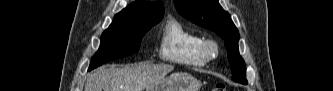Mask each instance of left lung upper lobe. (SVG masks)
<instances>
[{
	"label": "left lung upper lobe",
	"mask_w": 333,
	"mask_h": 91,
	"mask_svg": "<svg viewBox=\"0 0 333 91\" xmlns=\"http://www.w3.org/2000/svg\"><path fill=\"white\" fill-rule=\"evenodd\" d=\"M178 12L191 22L210 29L224 39L233 80L247 84L243 58L239 55V32L218 0H174Z\"/></svg>",
	"instance_id": "5c2ea615"
}]
</instances>
